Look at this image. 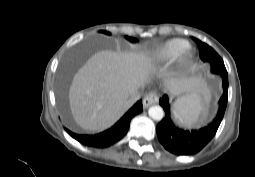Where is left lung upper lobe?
Returning a JSON list of instances; mask_svg holds the SVG:
<instances>
[{"label":"left lung upper lobe","mask_w":255,"mask_h":177,"mask_svg":"<svg viewBox=\"0 0 255 177\" xmlns=\"http://www.w3.org/2000/svg\"><path fill=\"white\" fill-rule=\"evenodd\" d=\"M193 40L199 47L201 59L204 62H209L211 64V71L220 74L222 77H227L228 74L224 62L215 50L196 38H193Z\"/></svg>","instance_id":"1"}]
</instances>
